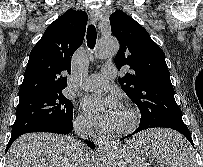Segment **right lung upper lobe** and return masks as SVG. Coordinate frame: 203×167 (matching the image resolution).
I'll use <instances>...</instances> for the list:
<instances>
[{"instance_id":"right-lung-upper-lobe-1","label":"right lung upper lobe","mask_w":203,"mask_h":167,"mask_svg":"<svg viewBox=\"0 0 203 167\" xmlns=\"http://www.w3.org/2000/svg\"><path fill=\"white\" fill-rule=\"evenodd\" d=\"M87 20L86 12L69 9L47 27L30 53L19 102L67 86L64 73H70L71 58L83 42Z\"/></svg>"}]
</instances>
